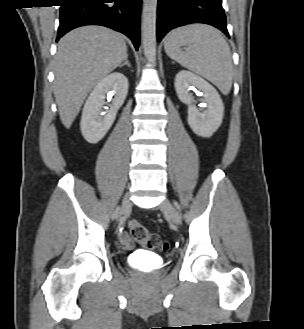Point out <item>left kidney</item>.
<instances>
[{
	"mask_svg": "<svg viewBox=\"0 0 304 329\" xmlns=\"http://www.w3.org/2000/svg\"><path fill=\"white\" fill-rule=\"evenodd\" d=\"M175 89L181 102L188 105V124L193 132L201 137H211L220 127L224 105L217 90L198 75L182 70L175 78ZM199 90L206 109L201 112L194 105V97L190 90Z\"/></svg>",
	"mask_w": 304,
	"mask_h": 329,
	"instance_id": "left-kidney-1",
	"label": "left kidney"
}]
</instances>
